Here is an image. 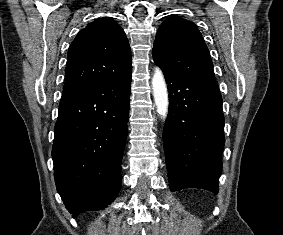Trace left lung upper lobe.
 Instances as JSON below:
<instances>
[{"mask_svg": "<svg viewBox=\"0 0 283 235\" xmlns=\"http://www.w3.org/2000/svg\"><path fill=\"white\" fill-rule=\"evenodd\" d=\"M153 59L163 71L216 83L204 39L197 26L186 19L172 16L162 23L154 41Z\"/></svg>", "mask_w": 283, "mask_h": 235, "instance_id": "5c2ea615", "label": "left lung upper lobe"}]
</instances>
